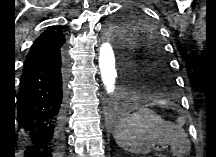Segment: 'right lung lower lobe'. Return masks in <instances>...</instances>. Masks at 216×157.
Wrapping results in <instances>:
<instances>
[{"mask_svg":"<svg viewBox=\"0 0 216 157\" xmlns=\"http://www.w3.org/2000/svg\"><path fill=\"white\" fill-rule=\"evenodd\" d=\"M65 101V62L61 52L23 70L16 116L22 157H60Z\"/></svg>","mask_w":216,"mask_h":157,"instance_id":"obj_1","label":"right lung lower lobe"}]
</instances>
